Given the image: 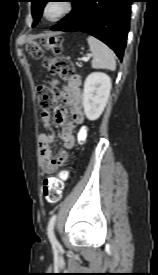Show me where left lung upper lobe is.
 Wrapping results in <instances>:
<instances>
[{"label": "left lung upper lobe", "instance_id": "5c2ea615", "mask_svg": "<svg viewBox=\"0 0 158 275\" xmlns=\"http://www.w3.org/2000/svg\"><path fill=\"white\" fill-rule=\"evenodd\" d=\"M31 2H32V15L34 19L32 26L34 27L38 23L42 15L43 8L45 4L48 2V0H31Z\"/></svg>", "mask_w": 158, "mask_h": 275}]
</instances>
